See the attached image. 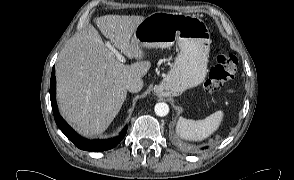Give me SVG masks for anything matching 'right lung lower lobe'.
<instances>
[{
  "instance_id": "right-lung-lower-lobe-1",
  "label": "right lung lower lobe",
  "mask_w": 294,
  "mask_h": 180,
  "mask_svg": "<svg viewBox=\"0 0 294 180\" xmlns=\"http://www.w3.org/2000/svg\"><path fill=\"white\" fill-rule=\"evenodd\" d=\"M56 93V79L55 68L52 69L51 81H50V99L54 118L59 129L70 139L78 148L87 151H105L115 147L121 142L126 134V128L120 133L119 136L108 140H87L79 136L59 115L57 104L55 100Z\"/></svg>"
}]
</instances>
